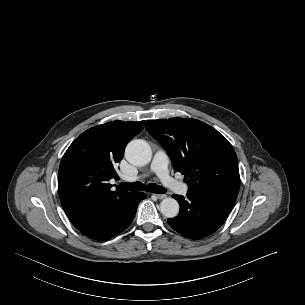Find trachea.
<instances>
[{
  "mask_svg": "<svg viewBox=\"0 0 305 305\" xmlns=\"http://www.w3.org/2000/svg\"><path fill=\"white\" fill-rule=\"evenodd\" d=\"M120 186L128 191H142L145 190V185L142 182L128 183L122 182ZM146 191L156 194H163L167 190L163 186H159L157 184H148L146 187Z\"/></svg>",
  "mask_w": 305,
  "mask_h": 305,
  "instance_id": "3493384b",
  "label": "trachea"
}]
</instances>
